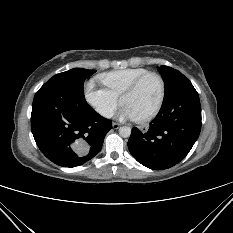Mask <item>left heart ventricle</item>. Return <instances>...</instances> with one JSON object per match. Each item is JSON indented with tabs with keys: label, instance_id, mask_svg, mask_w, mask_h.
<instances>
[{
	"label": "left heart ventricle",
	"instance_id": "obj_1",
	"mask_svg": "<svg viewBox=\"0 0 233 233\" xmlns=\"http://www.w3.org/2000/svg\"><path fill=\"white\" fill-rule=\"evenodd\" d=\"M161 95V83L151 76L132 94L125 96L122 104L128 106L136 118L149 114L157 105Z\"/></svg>",
	"mask_w": 233,
	"mask_h": 233
}]
</instances>
